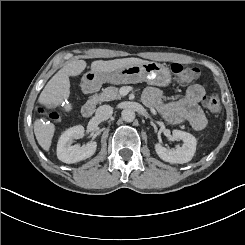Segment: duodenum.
I'll list each match as a JSON object with an SVG mask.
<instances>
[{
	"label": "duodenum",
	"instance_id": "duodenum-1",
	"mask_svg": "<svg viewBox=\"0 0 245 245\" xmlns=\"http://www.w3.org/2000/svg\"><path fill=\"white\" fill-rule=\"evenodd\" d=\"M94 110H95V103L93 100H89L88 102H86L83 105L81 113H82L83 117L89 118L94 113Z\"/></svg>",
	"mask_w": 245,
	"mask_h": 245
}]
</instances>
